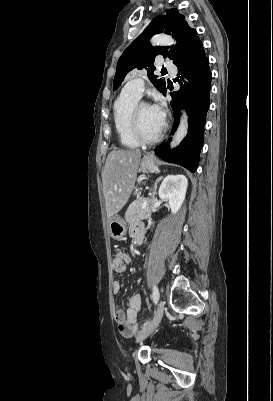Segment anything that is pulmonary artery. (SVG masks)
Returning a JSON list of instances; mask_svg holds the SVG:
<instances>
[{
    "label": "pulmonary artery",
    "instance_id": "obj_1",
    "mask_svg": "<svg viewBox=\"0 0 273 401\" xmlns=\"http://www.w3.org/2000/svg\"><path fill=\"white\" fill-rule=\"evenodd\" d=\"M163 63L160 66V69L165 72H177L179 66L177 63H173L172 58L167 57L163 60ZM174 77V76H172ZM146 86L145 81L141 80L139 75L134 77V80H131L128 85H124L122 91L124 94H131L137 99H140L143 95V90Z\"/></svg>",
    "mask_w": 273,
    "mask_h": 401
}]
</instances>
